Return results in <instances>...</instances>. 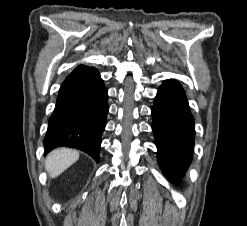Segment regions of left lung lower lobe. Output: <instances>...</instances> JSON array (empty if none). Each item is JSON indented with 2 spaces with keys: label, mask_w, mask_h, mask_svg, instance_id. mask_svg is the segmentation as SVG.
<instances>
[{
  "label": "left lung lower lobe",
  "mask_w": 247,
  "mask_h": 226,
  "mask_svg": "<svg viewBox=\"0 0 247 226\" xmlns=\"http://www.w3.org/2000/svg\"><path fill=\"white\" fill-rule=\"evenodd\" d=\"M152 116L159 164L168 178L178 180L191 162L195 130L185 92L176 80L162 84Z\"/></svg>",
  "instance_id": "0a47b994"
}]
</instances>
